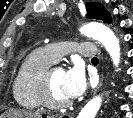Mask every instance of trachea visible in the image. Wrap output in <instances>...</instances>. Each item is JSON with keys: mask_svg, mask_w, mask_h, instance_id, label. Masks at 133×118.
<instances>
[{"mask_svg": "<svg viewBox=\"0 0 133 118\" xmlns=\"http://www.w3.org/2000/svg\"><path fill=\"white\" fill-rule=\"evenodd\" d=\"M92 61L98 62V58L97 57H94V58H92Z\"/></svg>", "mask_w": 133, "mask_h": 118, "instance_id": "obj_1", "label": "trachea"}]
</instances>
